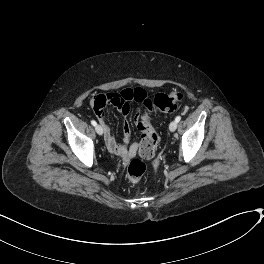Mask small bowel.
Here are the masks:
<instances>
[{
  "label": "small bowel",
  "mask_w": 264,
  "mask_h": 264,
  "mask_svg": "<svg viewBox=\"0 0 264 264\" xmlns=\"http://www.w3.org/2000/svg\"><path fill=\"white\" fill-rule=\"evenodd\" d=\"M140 91L143 98H146V92L140 88H126L121 93H106V94H98L92 99V106L95 110L96 115L101 121V127L103 128V133L105 135V143L106 147L112 154L120 157L131 156L133 155L137 148L138 143L132 144V146L127 149V144L131 137L130 130V121L127 118L129 114V105L127 103L128 100L135 99V93ZM107 106H113L119 109V111L124 115V120L122 123L123 130V140L122 142L117 141V139L113 136L110 126L105 120V108ZM142 116L137 112L134 116V122L137 124L139 119Z\"/></svg>",
  "instance_id": "obj_1"
}]
</instances>
